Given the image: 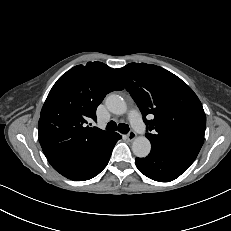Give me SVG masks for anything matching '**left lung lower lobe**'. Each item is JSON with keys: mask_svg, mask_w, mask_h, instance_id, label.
<instances>
[{"mask_svg": "<svg viewBox=\"0 0 231 231\" xmlns=\"http://www.w3.org/2000/svg\"><path fill=\"white\" fill-rule=\"evenodd\" d=\"M198 154L174 148L152 146L149 156L136 158V166L148 178L169 182L184 173Z\"/></svg>", "mask_w": 231, "mask_h": 231, "instance_id": "1", "label": "left lung lower lobe"}]
</instances>
